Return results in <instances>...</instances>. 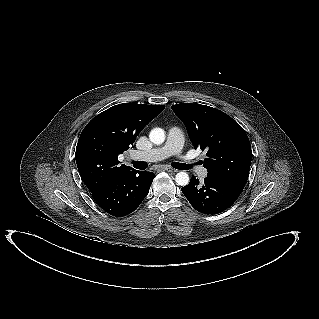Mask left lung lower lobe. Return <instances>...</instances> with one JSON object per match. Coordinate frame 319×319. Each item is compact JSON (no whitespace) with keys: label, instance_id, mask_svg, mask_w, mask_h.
Returning a JSON list of instances; mask_svg holds the SVG:
<instances>
[{"label":"left lung lower lobe","instance_id":"left-lung-lower-lobe-1","mask_svg":"<svg viewBox=\"0 0 319 319\" xmlns=\"http://www.w3.org/2000/svg\"><path fill=\"white\" fill-rule=\"evenodd\" d=\"M182 192L197 211L215 214L234 204L242 191L211 177H206L201 185L193 176L190 183L182 188Z\"/></svg>","mask_w":319,"mask_h":319}]
</instances>
